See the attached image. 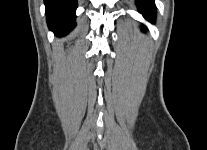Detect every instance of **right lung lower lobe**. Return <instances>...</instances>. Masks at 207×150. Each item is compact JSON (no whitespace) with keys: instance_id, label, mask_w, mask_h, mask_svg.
Returning <instances> with one entry per match:
<instances>
[{"instance_id":"1","label":"right lung lower lobe","mask_w":207,"mask_h":150,"mask_svg":"<svg viewBox=\"0 0 207 150\" xmlns=\"http://www.w3.org/2000/svg\"><path fill=\"white\" fill-rule=\"evenodd\" d=\"M44 3L48 27L55 35L64 36L75 27L77 0H44Z\"/></svg>"}]
</instances>
